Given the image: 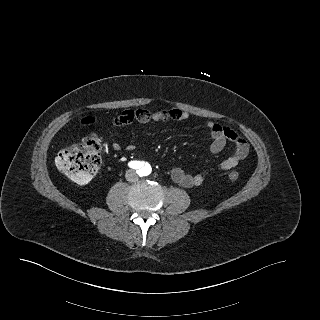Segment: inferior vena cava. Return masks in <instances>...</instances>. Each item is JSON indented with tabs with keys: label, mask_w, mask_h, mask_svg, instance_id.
<instances>
[{
	"label": "inferior vena cava",
	"mask_w": 320,
	"mask_h": 320,
	"mask_svg": "<svg viewBox=\"0 0 320 320\" xmlns=\"http://www.w3.org/2000/svg\"><path fill=\"white\" fill-rule=\"evenodd\" d=\"M126 180L129 181V182H135L138 180V175L136 174V172L134 170H128L126 172Z\"/></svg>",
	"instance_id": "obj_1"
}]
</instances>
